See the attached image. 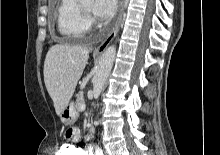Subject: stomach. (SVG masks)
Returning a JSON list of instances; mask_svg holds the SVG:
<instances>
[{"mask_svg":"<svg viewBox=\"0 0 220 155\" xmlns=\"http://www.w3.org/2000/svg\"><path fill=\"white\" fill-rule=\"evenodd\" d=\"M78 116L72 103L68 104L60 114V120L63 124H72Z\"/></svg>","mask_w":220,"mask_h":155,"instance_id":"0dacf381","label":"stomach"}]
</instances>
